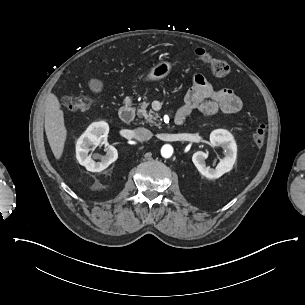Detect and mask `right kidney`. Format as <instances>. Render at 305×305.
<instances>
[{
  "mask_svg": "<svg viewBox=\"0 0 305 305\" xmlns=\"http://www.w3.org/2000/svg\"><path fill=\"white\" fill-rule=\"evenodd\" d=\"M92 127L93 129L91 131L88 128L87 131L77 140L76 158L79 164L84 166L88 171L100 172L117 160L118 153L113 146L107 145L106 155H95L94 158L100 159L99 162H95L92 157L88 155L89 146L98 145L102 139V136L106 137L109 127L108 124L103 121L98 122Z\"/></svg>",
  "mask_w": 305,
  "mask_h": 305,
  "instance_id": "right-kidney-1",
  "label": "right kidney"
}]
</instances>
